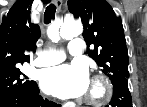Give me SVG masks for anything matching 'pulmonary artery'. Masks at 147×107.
I'll return each instance as SVG.
<instances>
[{
  "label": "pulmonary artery",
  "mask_w": 147,
  "mask_h": 107,
  "mask_svg": "<svg viewBox=\"0 0 147 107\" xmlns=\"http://www.w3.org/2000/svg\"><path fill=\"white\" fill-rule=\"evenodd\" d=\"M83 40L75 38L69 43V52L71 55H79L82 53ZM66 55L63 51L57 49H47L42 51L35 61V64L39 67H45L49 65H55L62 62Z\"/></svg>",
  "instance_id": "pulmonary-artery-1"
}]
</instances>
